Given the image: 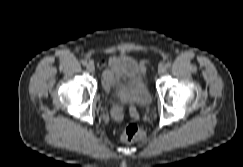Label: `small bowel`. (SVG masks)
<instances>
[{"instance_id":"small-bowel-1","label":"small bowel","mask_w":243,"mask_h":167,"mask_svg":"<svg viewBox=\"0 0 243 167\" xmlns=\"http://www.w3.org/2000/svg\"><path fill=\"white\" fill-rule=\"evenodd\" d=\"M115 58H116V56H113L111 58V60H110L111 64L115 60ZM100 65H103V63L101 62ZM103 83H104V88L106 91H110L113 87H115L116 81H115L113 73L111 72V69H109L105 72L104 78H103ZM111 115L115 120H120L123 117V107L120 103H118L111 109Z\"/></svg>"}]
</instances>
